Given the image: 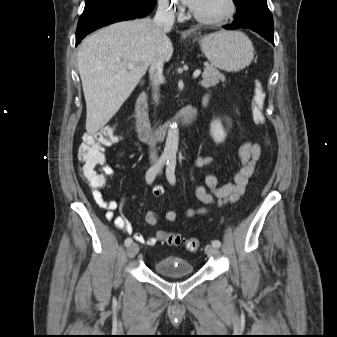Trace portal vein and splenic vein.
Masks as SVG:
<instances>
[{
    "label": "portal vein and splenic vein",
    "instance_id": "18ae733b",
    "mask_svg": "<svg viewBox=\"0 0 337 337\" xmlns=\"http://www.w3.org/2000/svg\"><path fill=\"white\" fill-rule=\"evenodd\" d=\"M136 65H137V63H135V62H129L126 65V68L127 69H133ZM200 74H201V70H199V69L195 70L194 73H193V78L199 77Z\"/></svg>",
    "mask_w": 337,
    "mask_h": 337
}]
</instances>
